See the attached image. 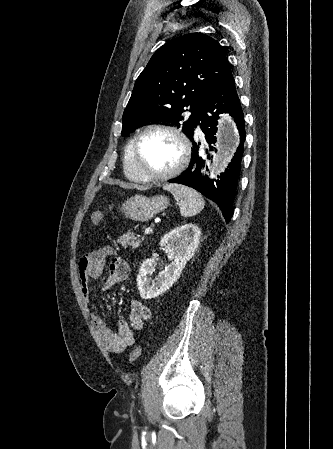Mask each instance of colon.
Returning <instances> with one entry per match:
<instances>
[{"label": "colon", "mask_w": 333, "mask_h": 449, "mask_svg": "<svg viewBox=\"0 0 333 449\" xmlns=\"http://www.w3.org/2000/svg\"><path fill=\"white\" fill-rule=\"evenodd\" d=\"M103 218V214L101 211H95L91 214L90 216V220L93 224H98ZM141 355V347L140 346H136L135 348L132 349V351L129 354V361L131 363L136 362L139 357Z\"/></svg>", "instance_id": "colon-1"}]
</instances>
